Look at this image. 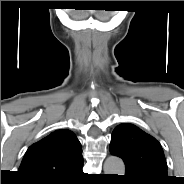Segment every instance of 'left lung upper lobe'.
I'll list each match as a JSON object with an SVG mask.
<instances>
[{"mask_svg": "<svg viewBox=\"0 0 184 184\" xmlns=\"http://www.w3.org/2000/svg\"><path fill=\"white\" fill-rule=\"evenodd\" d=\"M110 152L123 159L125 179L136 184H166L170 177L160 143L129 123L118 125L111 137Z\"/></svg>", "mask_w": 184, "mask_h": 184, "instance_id": "1", "label": "left lung upper lobe"}]
</instances>
